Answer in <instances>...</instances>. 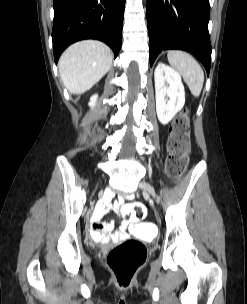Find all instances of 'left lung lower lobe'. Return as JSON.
<instances>
[{
    "label": "left lung lower lobe",
    "mask_w": 247,
    "mask_h": 304,
    "mask_svg": "<svg viewBox=\"0 0 247 304\" xmlns=\"http://www.w3.org/2000/svg\"><path fill=\"white\" fill-rule=\"evenodd\" d=\"M209 0H147L150 65L162 50L192 53L209 75L211 43Z\"/></svg>",
    "instance_id": "left-lung-lower-lobe-1"
}]
</instances>
